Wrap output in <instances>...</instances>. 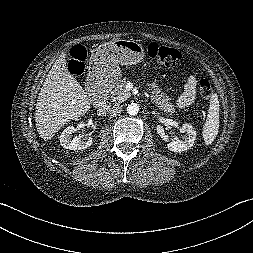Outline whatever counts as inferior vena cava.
Segmentation results:
<instances>
[{
  "label": "inferior vena cava",
  "instance_id": "602c4592",
  "mask_svg": "<svg viewBox=\"0 0 253 253\" xmlns=\"http://www.w3.org/2000/svg\"><path fill=\"white\" fill-rule=\"evenodd\" d=\"M99 111L107 112L111 117L116 116L122 111V105L120 104H114L113 106L103 105Z\"/></svg>",
  "mask_w": 253,
  "mask_h": 253
}]
</instances>
